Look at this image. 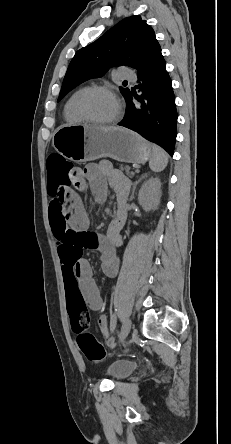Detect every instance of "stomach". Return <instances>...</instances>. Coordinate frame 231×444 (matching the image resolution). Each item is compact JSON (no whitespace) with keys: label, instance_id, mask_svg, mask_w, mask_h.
Wrapping results in <instances>:
<instances>
[{"label":"stomach","instance_id":"obj_1","mask_svg":"<svg viewBox=\"0 0 231 444\" xmlns=\"http://www.w3.org/2000/svg\"><path fill=\"white\" fill-rule=\"evenodd\" d=\"M52 145L65 158L76 162H88L110 157L127 163H144L152 156V149L136 133L114 127L103 130L98 127L66 124L58 127Z\"/></svg>","mask_w":231,"mask_h":444}]
</instances>
